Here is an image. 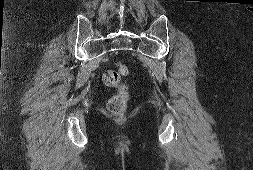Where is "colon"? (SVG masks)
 Instances as JSON below:
<instances>
[{
    "label": "colon",
    "mask_w": 253,
    "mask_h": 170,
    "mask_svg": "<svg viewBox=\"0 0 253 170\" xmlns=\"http://www.w3.org/2000/svg\"><path fill=\"white\" fill-rule=\"evenodd\" d=\"M127 74L128 67L122 63H118L115 69L107 71L103 76L106 85L121 88L120 93L112 98L108 104L109 110L114 114H120L125 109L127 94L124 87H122V78Z\"/></svg>",
    "instance_id": "5ec220e1"
}]
</instances>
